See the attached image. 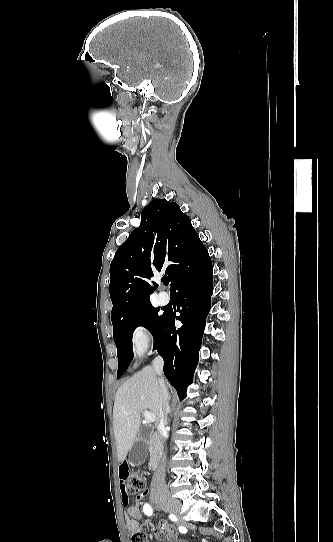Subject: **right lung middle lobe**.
Listing matches in <instances>:
<instances>
[{
  "label": "right lung middle lobe",
  "mask_w": 333,
  "mask_h": 542,
  "mask_svg": "<svg viewBox=\"0 0 333 542\" xmlns=\"http://www.w3.org/2000/svg\"><path fill=\"white\" fill-rule=\"evenodd\" d=\"M159 308L151 304L145 305L127 314L112 320L113 338L117 346L118 371L117 378H120L128 368L133 358L132 334L136 327L144 326L156 337L166 313L159 315Z\"/></svg>",
  "instance_id": "obj_1"
}]
</instances>
